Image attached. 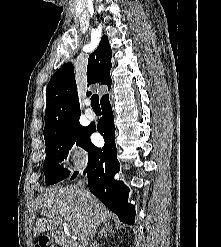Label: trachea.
<instances>
[{
    "label": "trachea",
    "mask_w": 221,
    "mask_h": 247,
    "mask_svg": "<svg viewBox=\"0 0 221 247\" xmlns=\"http://www.w3.org/2000/svg\"><path fill=\"white\" fill-rule=\"evenodd\" d=\"M91 104L94 110H101L100 104H99V96L97 94H94L91 97Z\"/></svg>",
    "instance_id": "1"
}]
</instances>
